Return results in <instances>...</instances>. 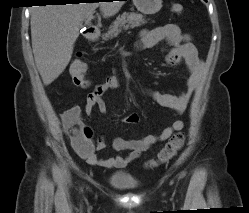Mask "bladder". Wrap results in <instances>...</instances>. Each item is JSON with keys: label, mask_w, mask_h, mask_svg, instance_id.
Instances as JSON below:
<instances>
[{"label": "bladder", "mask_w": 249, "mask_h": 213, "mask_svg": "<svg viewBox=\"0 0 249 213\" xmlns=\"http://www.w3.org/2000/svg\"><path fill=\"white\" fill-rule=\"evenodd\" d=\"M108 182L111 186L121 190L134 189L138 185L136 178L125 171L113 172L110 175Z\"/></svg>", "instance_id": "31cf9c89"}]
</instances>
